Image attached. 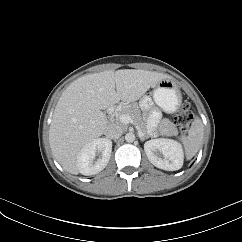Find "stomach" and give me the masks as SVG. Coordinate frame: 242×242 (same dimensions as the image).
Wrapping results in <instances>:
<instances>
[{"label":"stomach","instance_id":"obj_1","mask_svg":"<svg viewBox=\"0 0 242 242\" xmlns=\"http://www.w3.org/2000/svg\"><path fill=\"white\" fill-rule=\"evenodd\" d=\"M155 103L165 112H175L181 105V92L177 84L171 79L160 81L153 92Z\"/></svg>","mask_w":242,"mask_h":242}]
</instances>
